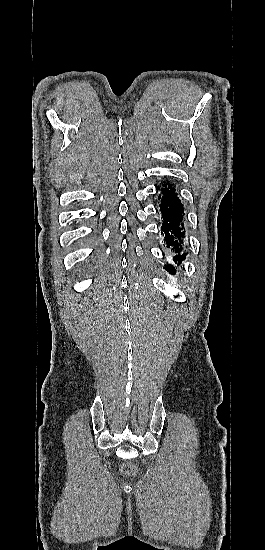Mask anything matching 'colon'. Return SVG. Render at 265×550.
Returning a JSON list of instances; mask_svg holds the SVG:
<instances>
[{"mask_svg": "<svg viewBox=\"0 0 265 550\" xmlns=\"http://www.w3.org/2000/svg\"><path fill=\"white\" fill-rule=\"evenodd\" d=\"M122 471L126 474H133L135 472V467L130 464H124L121 467Z\"/></svg>", "mask_w": 265, "mask_h": 550, "instance_id": "1", "label": "colon"}]
</instances>
